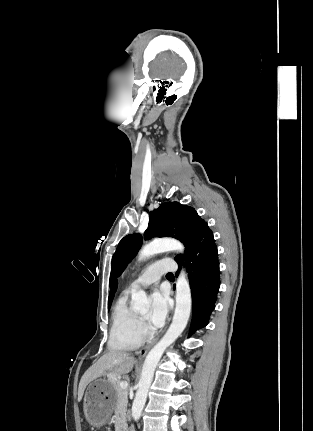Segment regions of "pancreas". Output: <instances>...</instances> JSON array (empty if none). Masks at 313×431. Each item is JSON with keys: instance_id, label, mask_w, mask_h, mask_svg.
<instances>
[{"instance_id": "1", "label": "pancreas", "mask_w": 313, "mask_h": 431, "mask_svg": "<svg viewBox=\"0 0 313 431\" xmlns=\"http://www.w3.org/2000/svg\"><path fill=\"white\" fill-rule=\"evenodd\" d=\"M116 391V404L114 408V421L115 427L118 431L126 425L127 420V404H128V390L120 388V380L114 379Z\"/></svg>"}]
</instances>
